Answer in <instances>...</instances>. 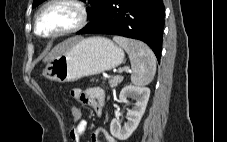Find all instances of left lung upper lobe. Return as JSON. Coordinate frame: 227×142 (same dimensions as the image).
Segmentation results:
<instances>
[{"instance_id":"left-lung-upper-lobe-1","label":"left lung upper lobe","mask_w":227,"mask_h":142,"mask_svg":"<svg viewBox=\"0 0 227 142\" xmlns=\"http://www.w3.org/2000/svg\"><path fill=\"white\" fill-rule=\"evenodd\" d=\"M43 1L44 0H34L32 7H36ZM106 1L107 0H88V3L91 5V8L87 9L88 18L93 19Z\"/></svg>"}]
</instances>
